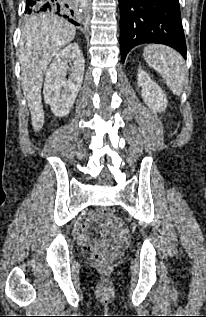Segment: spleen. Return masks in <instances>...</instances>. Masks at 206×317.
Here are the masks:
<instances>
[{
  "instance_id": "1",
  "label": "spleen",
  "mask_w": 206,
  "mask_h": 317,
  "mask_svg": "<svg viewBox=\"0 0 206 317\" xmlns=\"http://www.w3.org/2000/svg\"><path fill=\"white\" fill-rule=\"evenodd\" d=\"M143 56L150 67L161 74L164 81L175 95H180L186 80L183 58L170 47L149 45Z\"/></svg>"
}]
</instances>
